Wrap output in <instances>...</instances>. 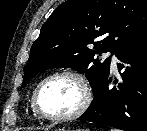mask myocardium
I'll use <instances>...</instances> for the list:
<instances>
[{"label": "myocardium", "instance_id": "myocardium-1", "mask_svg": "<svg viewBox=\"0 0 147 131\" xmlns=\"http://www.w3.org/2000/svg\"><path fill=\"white\" fill-rule=\"evenodd\" d=\"M57 77H71L79 82L83 90V100L80 106L75 111L67 115H49L42 110L39 104V93L41 88L44 86L46 82ZM91 102H92V91L88 80L82 73L69 69L56 71L44 77L35 87L31 97V103L33 109L35 113L38 115V117L51 122H65V121L74 120L80 117L81 115H83L88 110V108L91 105Z\"/></svg>", "mask_w": 147, "mask_h": 131}]
</instances>
